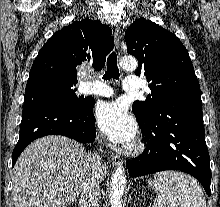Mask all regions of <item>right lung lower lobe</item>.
Returning <instances> with one entry per match:
<instances>
[{
    "label": "right lung lower lobe",
    "mask_w": 220,
    "mask_h": 207,
    "mask_svg": "<svg viewBox=\"0 0 220 207\" xmlns=\"http://www.w3.org/2000/svg\"><path fill=\"white\" fill-rule=\"evenodd\" d=\"M93 107L94 101L87 100L82 106H73L52 89L27 85L12 166L25 147L42 136L63 135L81 143H92L96 137Z\"/></svg>",
    "instance_id": "98d812e1"
}]
</instances>
